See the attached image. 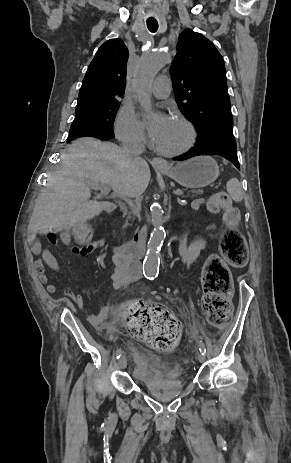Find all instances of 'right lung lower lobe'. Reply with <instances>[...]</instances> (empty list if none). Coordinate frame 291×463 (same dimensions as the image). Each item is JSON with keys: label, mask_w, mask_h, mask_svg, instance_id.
<instances>
[{"label": "right lung lower lobe", "mask_w": 291, "mask_h": 463, "mask_svg": "<svg viewBox=\"0 0 291 463\" xmlns=\"http://www.w3.org/2000/svg\"><path fill=\"white\" fill-rule=\"evenodd\" d=\"M108 139H111V138H102L101 140H108Z\"/></svg>", "instance_id": "obj_1"}]
</instances>
